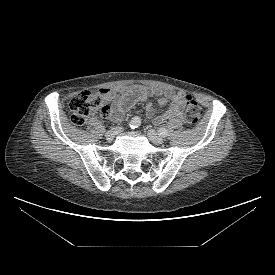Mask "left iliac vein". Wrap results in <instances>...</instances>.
Instances as JSON below:
<instances>
[{
	"instance_id": "obj_1",
	"label": "left iliac vein",
	"mask_w": 275,
	"mask_h": 275,
	"mask_svg": "<svg viewBox=\"0 0 275 275\" xmlns=\"http://www.w3.org/2000/svg\"><path fill=\"white\" fill-rule=\"evenodd\" d=\"M147 136L155 145H161L164 142L163 138L152 129L148 130Z\"/></svg>"
}]
</instances>
